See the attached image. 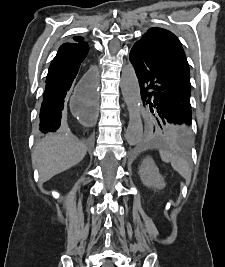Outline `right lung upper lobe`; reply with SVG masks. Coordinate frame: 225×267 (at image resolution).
I'll use <instances>...</instances> for the list:
<instances>
[{"label":"right lung upper lobe","instance_id":"obj_1","mask_svg":"<svg viewBox=\"0 0 225 267\" xmlns=\"http://www.w3.org/2000/svg\"><path fill=\"white\" fill-rule=\"evenodd\" d=\"M74 40L76 42H83V38L82 37H79V36L74 37Z\"/></svg>","mask_w":225,"mask_h":267}]
</instances>
